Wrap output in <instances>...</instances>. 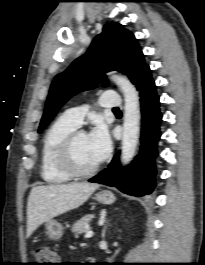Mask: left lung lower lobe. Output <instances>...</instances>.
<instances>
[{
	"label": "left lung lower lobe",
	"instance_id": "obj_1",
	"mask_svg": "<svg viewBox=\"0 0 205 265\" xmlns=\"http://www.w3.org/2000/svg\"><path fill=\"white\" fill-rule=\"evenodd\" d=\"M136 87L140 91L142 112L140 153L128 167H120L118 155H116L109 167L89 179V182L117 187L126 194L141 197L150 194L155 187V157L162 115L149 67L139 77Z\"/></svg>",
	"mask_w": 205,
	"mask_h": 265
}]
</instances>
